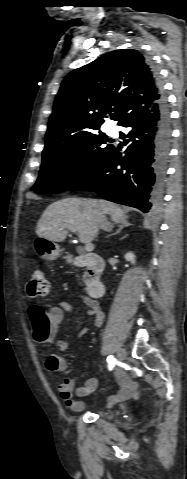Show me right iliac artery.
Here are the masks:
<instances>
[{"label": "right iliac artery", "instance_id": "right-iliac-artery-1", "mask_svg": "<svg viewBox=\"0 0 187 479\" xmlns=\"http://www.w3.org/2000/svg\"><path fill=\"white\" fill-rule=\"evenodd\" d=\"M107 361H108L109 370H112L113 367L115 366L116 362H117L116 359L112 355H110V356H108Z\"/></svg>", "mask_w": 187, "mask_h": 479}]
</instances>
